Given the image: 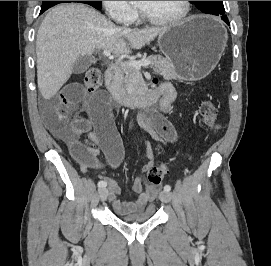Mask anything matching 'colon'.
I'll use <instances>...</instances> for the list:
<instances>
[{"label":"colon","mask_w":271,"mask_h":266,"mask_svg":"<svg viewBox=\"0 0 271 266\" xmlns=\"http://www.w3.org/2000/svg\"><path fill=\"white\" fill-rule=\"evenodd\" d=\"M102 84V74L98 67H92L87 70L84 77V86L88 92H94L100 88ZM200 115L203 117L207 128L211 131L219 129L217 122V108L210 99H203L199 106ZM167 174L165 165H154L147 170V179L153 185L162 182Z\"/></svg>","instance_id":"1"}]
</instances>
